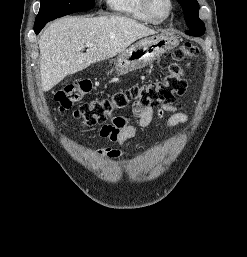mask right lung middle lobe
<instances>
[{
    "instance_id": "right-lung-middle-lobe-1",
    "label": "right lung middle lobe",
    "mask_w": 247,
    "mask_h": 257,
    "mask_svg": "<svg viewBox=\"0 0 247 257\" xmlns=\"http://www.w3.org/2000/svg\"><path fill=\"white\" fill-rule=\"evenodd\" d=\"M95 0H41L35 24L94 7Z\"/></svg>"
}]
</instances>
